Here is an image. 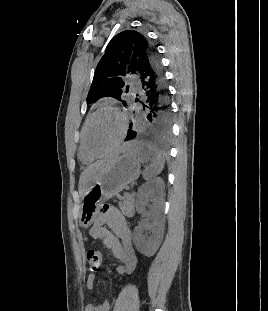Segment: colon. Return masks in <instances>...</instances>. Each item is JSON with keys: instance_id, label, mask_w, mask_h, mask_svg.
Returning <instances> with one entry per match:
<instances>
[{"instance_id": "1", "label": "colon", "mask_w": 268, "mask_h": 311, "mask_svg": "<svg viewBox=\"0 0 268 311\" xmlns=\"http://www.w3.org/2000/svg\"><path fill=\"white\" fill-rule=\"evenodd\" d=\"M103 253L101 250H89L87 253V263L90 271H97L101 265Z\"/></svg>"}]
</instances>
